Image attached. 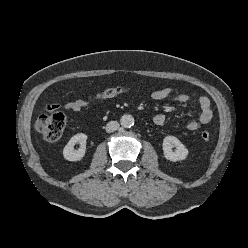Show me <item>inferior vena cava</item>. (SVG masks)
I'll list each match as a JSON object with an SVG mask.
<instances>
[{
	"label": "inferior vena cava",
	"instance_id": "602c4592",
	"mask_svg": "<svg viewBox=\"0 0 248 248\" xmlns=\"http://www.w3.org/2000/svg\"><path fill=\"white\" fill-rule=\"evenodd\" d=\"M119 128V123L117 121H110L106 125V132L111 133L116 131Z\"/></svg>",
	"mask_w": 248,
	"mask_h": 248
}]
</instances>
